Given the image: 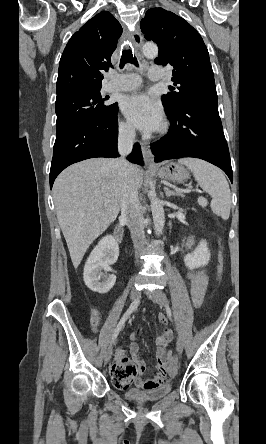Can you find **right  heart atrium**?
Instances as JSON below:
<instances>
[{
  "label": "right heart atrium",
  "mask_w": 266,
  "mask_h": 444,
  "mask_svg": "<svg viewBox=\"0 0 266 444\" xmlns=\"http://www.w3.org/2000/svg\"><path fill=\"white\" fill-rule=\"evenodd\" d=\"M119 132L121 136L130 137L133 134V129L131 125L127 122H119Z\"/></svg>",
  "instance_id": "right-heart-atrium-1"
}]
</instances>
